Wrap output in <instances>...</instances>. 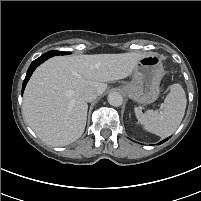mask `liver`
Here are the masks:
<instances>
[{
  "label": "liver",
  "instance_id": "1",
  "mask_svg": "<svg viewBox=\"0 0 201 201\" xmlns=\"http://www.w3.org/2000/svg\"><path fill=\"white\" fill-rule=\"evenodd\" d=\"M140 53L56 56L40 65L24 91V119L46 144L64 146L83 134L87 102L82 97L92 88L98 95L107 82L128 77Z\"/></svg>",
  "mask_w": 201,
  "mask_h": 201
}]
</instances>
